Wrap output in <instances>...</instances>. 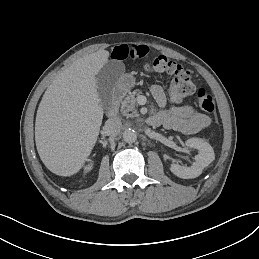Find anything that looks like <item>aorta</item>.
I'll use <instances>...</instances> for the list:
<instances>
[{"label":"aorta","instance_id":"aorta-1","mask_svg":"<svg viewBox=\"0 0 259 259\" xmlns=\"http://www.w3.org/2000/svg\"><path fill=\"white\" fill-rule=\"evenodd\" d=\"M123 139L126 143H134L137 140V133L135 130L129 128L123 132Z\"/></svg>","mask_w":259,"mask_h":259}]
</instances>
